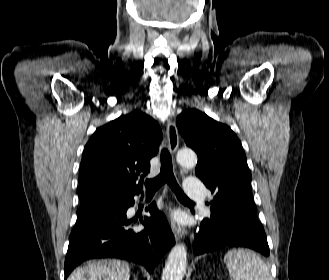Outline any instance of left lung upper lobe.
Wrapping results in <instances>:
<instances>
[{
	"instance_id": "5c2ea615",
	"label": "left lung upper lobe",
	"mask_w": 329,
	"mask_h": 280,
	"mask_svg": "<svg viewBox=\"0 0 329 280\" xmlns=\"http://www.w3.org/2000/svg\"><path fill=\"white\" fill-rule=\"evenodd\" d=\"M176 124L186 144L198 155L196 175L216 194L211 207L235 195L250 194L247 159L230 127L197 109L183 111Z\"/></svg>"
}]
</instances>
